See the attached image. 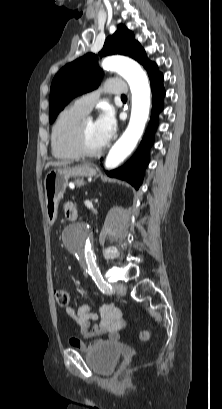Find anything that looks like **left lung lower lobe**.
<instances>
[{
    "mask_svg": "<svg viewBox=\"0 0 222 409\" xmlns=\"http://www.w3.org/2000/svg\"><path fill=\"white\" fill-rule=\"evenodd\" d=\"M152 88V117L148 125L146 133L139 148L133 157L121 168L107 172L110 177H116L128 181L136 189L142 183L144 169L149 163V148L154 140V132L157 127V115L162 110V99L165 91L162 85L163 76L161 73H156L150 77Z\"/></svg>",
    "mask_w": 222,
    "mask_h": 409,
    "instance_id": "0a47b994",
    "label": "left lung lower lobe"
}]
</instances>
